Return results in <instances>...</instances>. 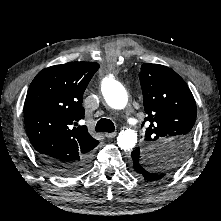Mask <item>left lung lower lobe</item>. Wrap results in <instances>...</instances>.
Wrapping results in <instances>:
<instances>
[{
  "label": "left lung lower lobe",
  "instance_id": "1",
  "mask_svg": "<svg viewBox=\"0 0 221 221\" xmlns=\"http://www.w3.org/2000/svg\"><path fill=\"white\" fill-rule=\"evenodd\" d=\"M130 168L131 172L137 178L147 182H154L155 175L149 171L146 161L143 158V153L139 148L131 153Z\"/></svg>",
  "mask_w": 221,
  "mask_h": 221
}]
</instances>
